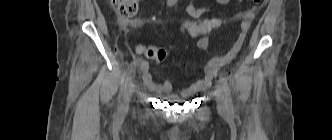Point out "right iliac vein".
Returning <instances> with one entry per match:
<instances>
[{"label":"right iliac vein","mask_w":332,"mask_h":140,"mask_svg":"<svg viewBox=\"0 0 332 140\" xmlns=\"http://www.w3.org/2000/svg\"><path fill=\"white\" fill-rule=\"evenodd\" d=\"M133 77H134V72L132 71V73L130 74V76L128 77L126 84H125V88L123 91V100H124V104H123V109L127 110L129 107V103L131 100V95L133 93Z\"/></svg>","instance_id":"1"}]
</instances>
